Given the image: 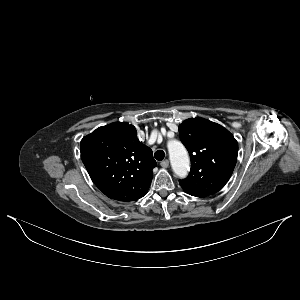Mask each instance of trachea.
<instances>
[{"label": "trachea", "mask_w": 300, "mask_h": 300, "mask_svg": "<svg viewBox=\"0 0 300 300\" xmlns=\"http://www.w3.org/2000/svg\"><path fill=\"white\" fill-rule=\"evenodd\" d=\"M154 157H155L156 160L161 161V160L164 159L165 153H164L163 150H158V151H156V152L154 153Z\"/></svg>", "instance_id": "3493384b"}]
</instances>
